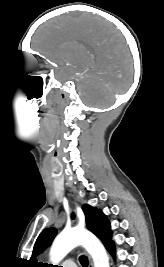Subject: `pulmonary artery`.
<instances>
[{
  "label": "pulmonary artery",
  "mask_w": 164,
  "mask_h": 267,
  "mask_svg": "<svg viewBox=\"0 0 164 267\" xmlns=\"http://www.w3.org/2000/svg\"><path fill=\"white\" fill-rule=\"evenodd\" d=\"M63 267H77L76 263L72 260H66L63 263Z\"/></svg>",
  "instance_id": "obj_1"
}]
</instances>
